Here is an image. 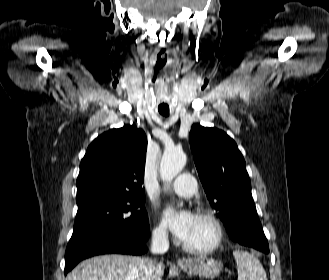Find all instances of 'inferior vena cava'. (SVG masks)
<instances>
[{
	"label": "inferior vena cava",
	"mask_w": 329,
	"mask_h": 280,
	"mask_svg": "<svg viewBox=\"0 0 329 280\" xmlns=\"http://www.w3.org/2000/svg\"><path fill=\"white\" fill-rule=\"evenodd\" d=\"M169 248L168 235L163 230L153 232L151 252L153 254H164ZM161 267L152 259H143L140 265L141 280H154V273Z\"/></svg>",
	"instance_id": "1"
}]
</instances>
